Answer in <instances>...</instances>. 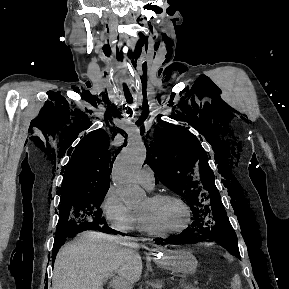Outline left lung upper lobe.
I'll use <instances>...</instances> for the list:
<instances>
[{"label":"left lung upper lobe","instance_id":"5c2ea615","mask_svg":"<svg viewBox=\"0 0 289 289\" xmlns=\"http://www.w3.org/2000/svg\"><path fill=\"white\" fill-rule=\"evenodd\" d=\"M147 147V164L157 178L181 195L191 206L195 221L190 227H206L215 241L240 257L237 236L228 222L207 154L187 129L160 123Z\"/></svg>","mask_w":289,"mask_h":289}]
</instances>
